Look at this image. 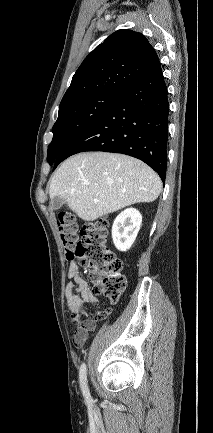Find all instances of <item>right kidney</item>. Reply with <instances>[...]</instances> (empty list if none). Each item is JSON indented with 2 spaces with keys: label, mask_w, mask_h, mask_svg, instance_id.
Returning a JSON list of instances; mask_svg holds the SVG:
<instances>
[{
  "label": "right kidney",
  "mask_w": 213,
  "mask_h": 433,
  "mask_svg": "<svg viewBox=\"0 0 213 433\" xmlns=\"http://www.w3.org/2000/svg\"><path fill=\"white\" fill-rule=\"evenodd\" d=\"M142 223V215L134 208L122 211L114 220L112 239L119 251H127L134 243Z\"/></svg>",
  "instance_id": "1"
}]
</instances>
